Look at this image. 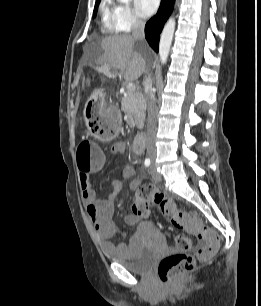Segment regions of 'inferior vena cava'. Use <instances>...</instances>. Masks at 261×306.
Wrapping results in <instances>:
<instances>
[{"mask_svg":"<svg viewBox=\"0 0 261 306\" xmlns=\"http://www.w3.org/2000/svg\"><path fill=\"white\" fill-rule=\"evenodd\" d=\"M145 22L137 18L132 26V36L136 40L144 39ZM147 102V153L149 156L156 155L154 136L157 128V105L154 92L152 90V78L148 75L144 80Z\"/></svg>","mask_w":261,"mask_h":306,"instance_id":"1","label":"inferior vena cava"}]
</instances>
